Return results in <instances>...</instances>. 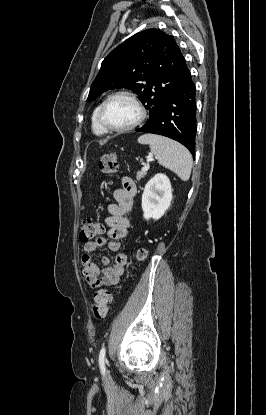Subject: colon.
I'll list each match as a JSON object with an SVG mask.
<instances>
[{"mask_svg": "<svg viewBox=\"0 0 266 415\" xmlns=\"http://www.w3.org/2000/svg\"><path fill=\"white\" fill-rule=\"evenodd\" d=\"M100 170L108 175H112L117 171L118 161L115 153H108L102 156L99 162ZM104 232V227L98 221L86 218L81 223L80 240L87 242L93 238L98 237ZM147 256V250L141 248L137 252V259L144 260ZM112 300V295L108 290H98L94 294L92 312L97 319L104 318L109 310V305Z\"/></svg>", "mask_w": 266, "mask_h": 415, "instance_id": "obj_1", "label": "colon"}]
</instances>
